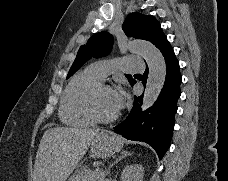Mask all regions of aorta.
Instances as JSON below:
<instances>
[{
    "instance_id": "762f6f07",
    "label": "aorta",
    "mask_w": 228,
    "mask_h": 181,
    "mask_svg": "<svg viewBox=\"0 0 228 181\" xmlns=\"http://www.w3.org/2000/svg\"><path fill=\"white\" fill-rule=\"evenodd\" d=\"M132 53L141 55L149 69L141 110L151 107L157 100L166 78V63L162 53L153 44L143 40H132L128 43Z\"/></svg>"
}]
</instances>
